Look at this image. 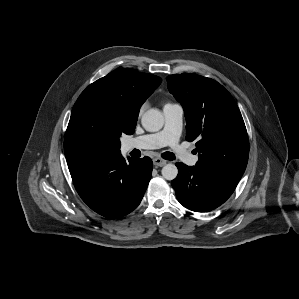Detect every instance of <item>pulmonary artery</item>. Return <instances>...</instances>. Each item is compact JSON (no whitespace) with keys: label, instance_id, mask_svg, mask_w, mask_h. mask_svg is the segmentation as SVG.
<instances>
[{"label":"pulmonary artery","instance_id":"obj_1","mask_svg":"<svg viewBox=\"0 0 299 299\" xmlns=\"http://www.w3.org/2000/svg\"><path fill=\"white\" fill-rule=\"evenodd\" d=\"M163 114L165 123L161 131L128 140L123 146L124 150L157 149L170 146L178 159L187 165H195L198 157L179 145L183 108L179 104H166L163 108Z\"/></svg>","mask_w":299,"mask_h":299}]
</instances>
